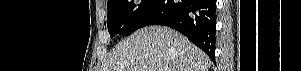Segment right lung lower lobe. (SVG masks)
I'll list each match as a JSON object with an SVG mask.
<instances>
[{"label":"right lung lower lobe","mask_w":301,"mask_h":71,"mask_svg":"<svg viewBox=\"0 0 301 71\" xmlns=\"http://www.w3.org/2000/svg\"><path fill=\"white\" fill-rule=\"evenodd\" d=\"M169 26L200 47L215 62V0H157L140 28Z\"/></svg>","instance_id":"1"}]
</instances>
